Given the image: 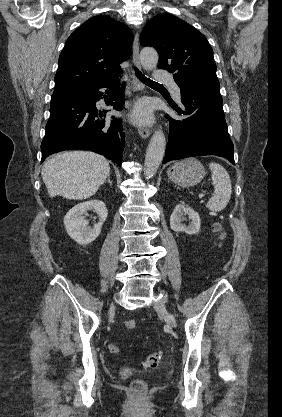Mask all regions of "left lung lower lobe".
<instances>
[{
    "label": "left lung lower lobe",
    "mask_w": 282,
    "mask_h": 417,
    "mask_svg": "<svg viewBox=\"0 0 282 417\" xmlns=\"http://www.w3.org/2000/svg\"><path fill=\"white\" fill-rule=\"evenodd\" d=\"M181 120L169 119V139L163 163L192 156L216 155L234 164V146L223 112L219 83L197 79L181 86Z\"/></svg>",
    "instance_id": "left-lung-lower-lobe-1"
}]
</instances>
